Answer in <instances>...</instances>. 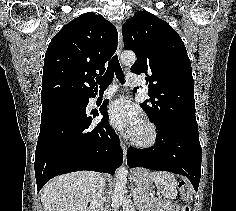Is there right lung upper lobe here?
<instances>
[{"instance_id":"right-lung-upper-lobe-1","label":"right lung upper lobe","mask_w":236,"mask_h":211,"mask_svg":"<svg viewBox=\"0 0 236 211\" xmlns=\"http://www.w3.org/2000/svg\"><path fill=\"white\" fill-rule=\"evenodd\" d=\"M117 42L115 26L91 12L63 26L45 54L41 103L94 96V78L105 71Z\"/></svg>"}]
</instances>
